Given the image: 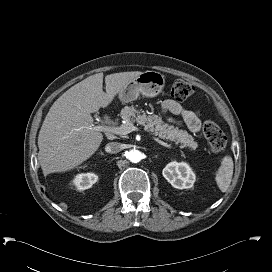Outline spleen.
<instances>
[{
	"label": "spleen",
	"mask_w": 272,
	"mask_h": 272,
	"mask_svg": "<svg viewBox=\"0 0 272 272\" xmlns=\"http://www.w3.org/2000/svg\"><path fill=\"white\" fill-rule=\"evenodd\" d=\"M233 160L230 156L222 159L221 166L216 174V183L222 192H225L230 186L233 175Z\"/></svg>",
	"instance_id": "spleen-1"
}]
</instances>
